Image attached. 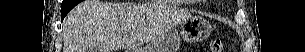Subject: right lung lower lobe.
<instances>
[{"mask_svg": "<svg viewBox=\"0 0 305 52\" xmlns=\"http://www.w3.org/2000/svg\"><path fill=\"white\" fill-rule=\"evenodd\" d=\"M66 0H63L61 6V20L67 15V13L74 7L76 4L74 3H64Z\"/></svg>", "mask_w": 305, "mask_h": 52, "instance_id": "1", "label": "right lung lower lobe"}]
</instances>
